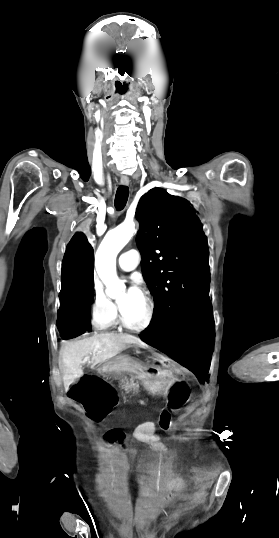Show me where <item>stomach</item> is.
Instances as JSON below:
<instances>
[{
    "label": "stomach",
    "mask_w": 279,
    "mask_h": 538,
    "mask_svg": "<svg viewBox=\"0 0 279 538\" xmlns=\"http://www.w3.org/2000/svg\"><path fill=\"white\" fill-rule=\"evenodd\" d=\"M157 389L154 385H151L149 387V390L151 391V394H160V387H162L164 385V382L162 380H159L157 382Z\"/></svg>",
    "instance_id": "1"
}]
</instances>
